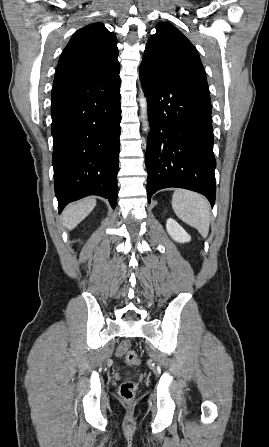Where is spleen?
<instances>
[{
	"instance_id": "1",
	"label": "spleen",
	"mask_w": 269,
	"mask_h": 447,
	"mask_svg": "<svg viewBox=\"0 0 269 447\" xmlns=\"http://www.w3.org/2000/svg\"><path fill=\"white\" fill-rule=\"evenodd\" d=\"M172 208L185 224L196 227L203 237H207L210 225V206L204 196L188 190H175Z\"/></svg>"
}]
</instances>
